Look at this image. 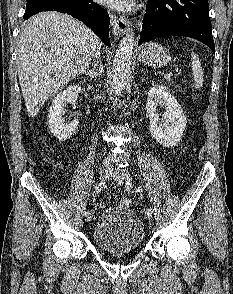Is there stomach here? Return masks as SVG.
<instances>
[{
	"instance_id": "obj_1",
	"label": "stomach",
	"mask_w": 233,
	"mask_h": 294,
	"mask_svg": "<svg viewBox=\"0 0 233 294\" xmlns=\"http://www.w3.org/2000/svg\"><path fill=\"white\" fill-rule=\"evenodd\" d=\"M139 59L153 67H164L170 63L171 56L164 46L156 42H149L142 46Z\"/></svg>"
}]
</instances>
